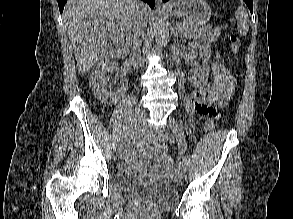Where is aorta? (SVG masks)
<instances>
[{
    "label": "aorta",
    "instance_id": "762f6f07",
    "mask_svg": "<svg viewBox=\"0 0 293 219\" xmlns=\"http://www.w3.org/2000/svg\"><path fill=\"white\" fill-rule=\"evenodd\" d=\"M155 36L157 50L161 51L167 43L169 34L167 31L165 19L160 14H157L155 17Z\"/></svg>",
    "mask_w": 293,
    "mask_h": 219
}]
</instances>
